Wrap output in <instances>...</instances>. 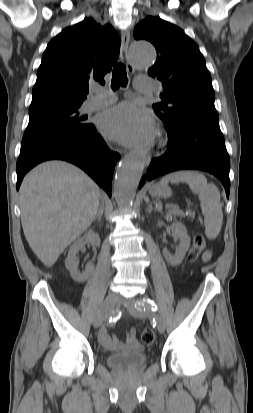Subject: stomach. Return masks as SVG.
<instances>
[{
  "label": "stomach",
  "mask_w": 253,
  "mask_h": 413,
  "mask_svg": "<svg viewBox=\"0 0 253 413\" xmlns=\"http://www.w3.org/2000/svg\"><path fill=\"white\" fill-rule=\"evenodd\" d=\"M149 194L155 198H167L171 195V189L167 184H155L149 187Z\"/></svg>",
  "instance_id": "obj_1"
}]
</instances>
